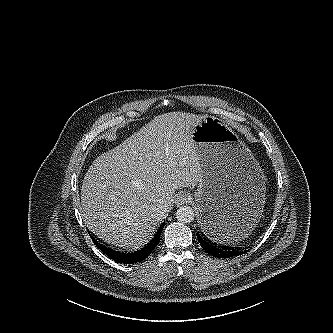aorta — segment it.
I'll return each mask as SVG.
<instances>
[{
  "mask_svg": "<svg viewBox=\"0 0 333 333\" xmlns=\"http://www.w3.org/2000/svg\"><path fill=\"white\" fill-rule=\"evenodd\" d=\"M194 210L190 206H182L176 211V218L181 223H190L194 220Z\"/></svg>",
  "mask_w": 333,
  "mask_h": 333,
  "instance_id": "obj_1",
  "label": "aorta"
}]
</instances>
